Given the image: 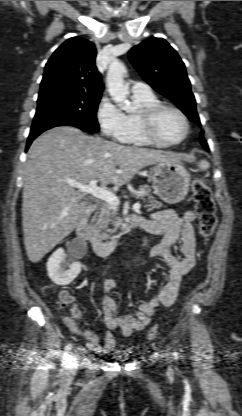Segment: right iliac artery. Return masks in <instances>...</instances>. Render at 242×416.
<instances>
[{
    "instance_id": "obj_1",
    "label": "right iliac artery",
    "mask_w": 242,
    "mask_h": 416,
    "mask_svg": "<svg viewBox=\"0 0 242 416\" xmlns=\"http://www.w3.org/2000/svg\"><path fill=\"white\" fill-rule=\"evenodd\" d=\"M70 350H71V344H68L67 346H65L63 354H62V365L64 366H66L68 363Z\"/></svg>"
}]
</instances>
